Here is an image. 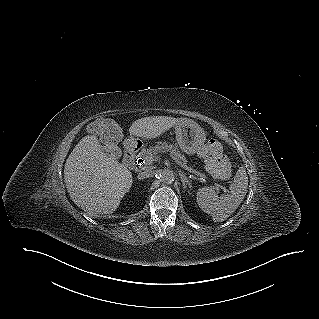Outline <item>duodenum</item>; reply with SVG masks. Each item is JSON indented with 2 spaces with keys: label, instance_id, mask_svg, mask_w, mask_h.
I'll return each mask as SVG.
<instances>
[{
  "label": "duodenum",
  "instance_id": "410a0bca",
  "mask_svg": "<svg viewBox=\"0 0 319 319\" xmlns=\"http://www.w3.org/2000/svg\"><path fill=\"white\" fill-rule=\"evenodd\" d=\"M140 144L137 141H125L123 144L124 149V164L128 169H134L141 165L142 158L139 154Z\"/></svg>",
  "mask_w": 319,
  "mask_h": 319
}]
</instances>
